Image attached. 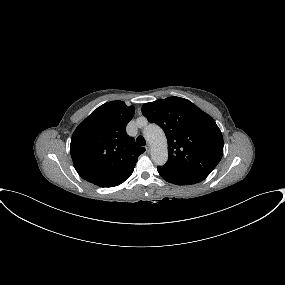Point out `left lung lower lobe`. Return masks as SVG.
I'll list each match as a JSON object with an SVG mask.
<instances>
[{"instance_id":"0a47b994","label":"left lung lower lobe","mask_w":285,"mask_h":285,"mask_svg":"<svg viewBox=\"0 0 285 285\" xmlns=\"http://www.w3.org/2000/svg\"><path fill=\"white\" fill-rule=\"evenodd\" d=\"M158 172L165 181L176 185H191L201 182L205 179L203 177L195 175L169 173L161 170L160 168H158Z\"/></svg>"}]
</instances>
